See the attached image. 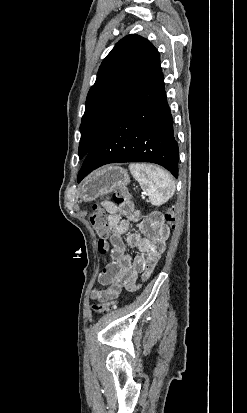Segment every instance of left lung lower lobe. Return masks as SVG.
<instances>
[{
    "label": "left lung lower lobe",
    "mask_w": 247,
    "mask_h": 413,
    "mask_svg": "<svg viewBox=\"0 0 247 413\" xmlns=\"http://www.w3.org/2000/svg\"><path fill=\"white\" fill-rule=\"evenodd\" d=\"M178 160L161 70L85 156L78 182L94 169L115 162L156 163L177 178Z\"/></svg>",
    "instance_id": "left-lung-lower-lobe-1"
}]
</instances>
